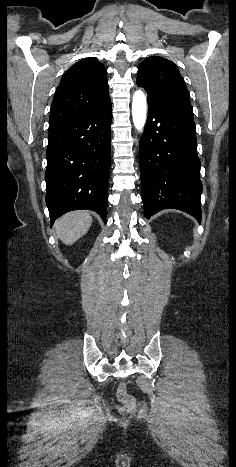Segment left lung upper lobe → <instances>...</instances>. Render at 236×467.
<instances>
[{
	"instance_id": "obj_1",
	"label": "left lung upper lobe",
	"mask_w": 236,
	"mask_h": 467,
	"mask_svg": "<svg viewBox=\"0 0 236 467\" xmlns=\"http://www.w3.org/2000/svg\"><path fill=\"white\" fill-rule=\"evenodd\" d=\"M137 85L146 90L148 103L191 107L189 92L179 69L168 59L147 57L139 66Z\"/></svg>"
}]
</instances>
